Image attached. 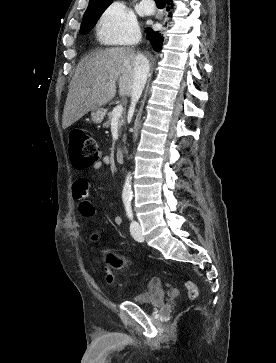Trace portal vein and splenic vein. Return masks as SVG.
Here are the masks:
<instances>
[{
	"mask_svg": "<svg viewBox=\"0 0 276 363\" xmlns=\"http://www.w3.org/2000/svg\"><path fill=\"white\" fill-rule=\"evenodd\" d=\"M122 112H123V106L117 105L112 111L113 114L112 120H118L121 117Z\"/></svg>",
	"mask_w": 276,
	"mask_h": 363,
	"instance_id": "obj_1",
	"label": "portal vein and splenic vein"
}]
</instances>
